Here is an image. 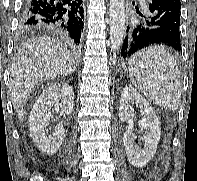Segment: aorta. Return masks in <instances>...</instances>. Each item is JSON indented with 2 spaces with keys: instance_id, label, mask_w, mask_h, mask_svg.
<instances>
[{
  "instance_id": "762f6f07",
  "label": "aorta",
  "mask_w": 197,
  "mask_h": 181,
  "mask_svg": "<svg viewBox=\"0 0 197 181\" xmlns=\"http://www.w3.org/2000/svg\"><path fill=\"white\" fill-rule=\"evenodd\" d=\"M110 37L109 45L112 52L122 46L125 34V0H110Z\"/></svg>"
}]
</instances>
